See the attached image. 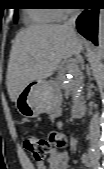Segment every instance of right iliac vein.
Instances as JSON below:
<instances>
[{
    "mask_svg": "<svg viewBox=\"0 0 104 169\" xmlns=\"http://www.w3.org/2000/svg\"><path fill=\"white\" fill-rule=\"evenodd\" d=\"M93 147H94V149H95L96 152H97V158H99V157H100V151H99L98 145H97V144H94Z\"/></svg>",
    "mask_w": 104,
    "mask_h": 169,
    "instance_id": "right-iliac-vein-1",
    "label": "right iliac vein"
}]
</instances>
